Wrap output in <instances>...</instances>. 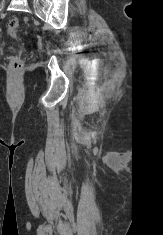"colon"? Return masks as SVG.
Returning <instances> with one entry per match:
<instances>
[{"instance_id": "5ec220e1", "label": "colon", "mask_w": 163, "mask_h": 235, "mask_svg": "<svg viewBox=\"0 0 163 235\" xmlns=\"http://www.w3.org/2000/svg\"><path fill=\"white\" fill-rule=\"evenodd\" d=\"M18 31H19V20L17 18H13L12 20L9 21L7 25V32L11 37L17 38ZM22 64H23L22 54L14 56L10 63L11 72L18 73L22 68Z\"/></svg>"}]
</instances>
